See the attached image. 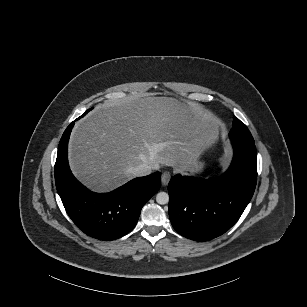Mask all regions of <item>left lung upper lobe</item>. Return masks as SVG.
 Returning <instances> with one entry per match:
<instances>
[{
	"instance_id": "5c2ea615",
	"label": "left lung upper lobe",
	"mask_w": 307,
	"mask_h": 307,
	"mask_svg": "<svg viewBox=\"0 0 307 307\" xmlns=\"http://www.w3.org/2000/svg\"><path fill=\"white\" fill-rule=\"evenodd\" d=\"M229 136L234 139L254 140L246 125L236 117L233 120V126L229 132Z\"/></svg>"
}]
</instances>
